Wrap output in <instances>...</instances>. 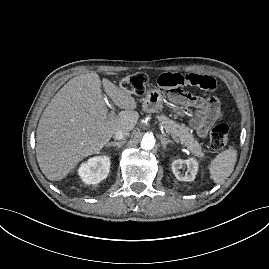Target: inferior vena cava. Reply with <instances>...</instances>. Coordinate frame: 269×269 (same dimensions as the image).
<instances>
[{
  "label": "inferior vena cava",
  "instance_id": "1",
  "mask_svg": "<svg viewBox=\"0 0 269 269\" xmlns=\"http://www.w3.org/2000/svg\"><path fill=\"white\" fill-rule=\"evenodd\" d=\"M128 136H129V131L124 130V129H120V130L116 131L114 134V138L116 140H125Z\"/></svg>",
  "mask_w": 269,
  "mask_h": 269
}]
</instances>
